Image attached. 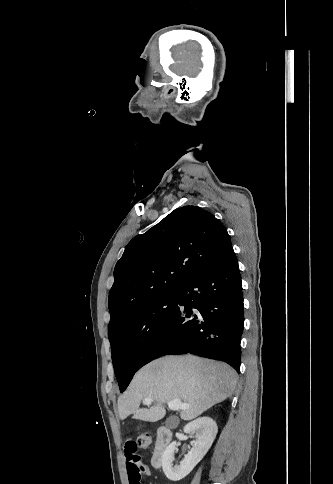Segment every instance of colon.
Instances as JSON below:
<instances>
[{
	"instance_id": "obj_1",
	"label": "colon",
	"mask_w": 333,
	"mask_h": 484,
	"mask_svg": "<svg viewBox=\"0 0 333 484\" xmlns=\"http://www.w3.org/2000/svg\"><path fill=\"white\" fill-rule=\"evenodd\" d=\"M151 441L152 437L149 433H142L138 436L136 440V445L139 448H147L151 444Z\"/></svg>"
}]
</instances>
